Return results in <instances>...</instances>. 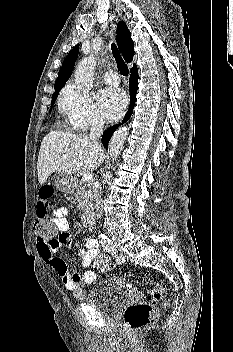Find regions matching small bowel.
I'll use <instances>...</instances> for the list:
<instances>
[{
	"mask_svg": "<svg viewBox=\"0 0 233 352\" xmlns=\"http://www.w3.org/2000/svg\"><path fill=\"white\" fill-rule=\"evenodd\" d=\"M54 203V188L50 185L42 186L38 193L37 217L38 219L50 220L56 228L58 236L54 240L45 242L37 239V251L41 259L57 272L65 287L74 291L78 286L93 283L97 275L92 270H87L82 275L72 274L65 261L57 255L69 243V221L67 219L68 209L65 207L54 208ZM98 253V241L92 237H87L85 248L79 252L80 267L90 265L92 257L98 255ZM76 276H79V280L75 279Z\"/></svg>",
	"mask_w": 233,
	"mask_h": 352,
	"instance_id": "1",
	"label": "small bowel"
}]
</instances>
